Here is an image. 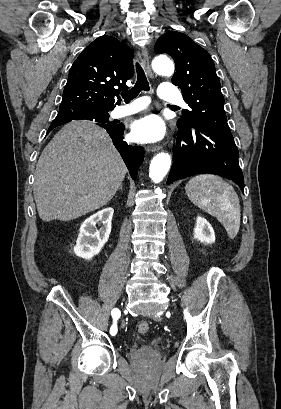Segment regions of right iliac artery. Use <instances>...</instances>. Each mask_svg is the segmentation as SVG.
I'll list each match as a JSON object with an SVG mask.
<instances>
[{
	"instance_id": "obj_1",
	"label": "right iliac artery",
	"mask_w": 281,
	"mask_h": 409,
	"mask_svg": "<svg viewBox=\"0 0 281 409\" xmlns=\"http://www.w3.org/2000/svg\"><path fill=\"white\" fill-rule=\"evenodd\" d=\"M111 315H112V317H113L114 324H113V325L111 326V328H110V334H111V335H115V334L117 333V325H116V322H117L118 318L120 317V311H119L117 308H114V309L111 311Z\"/></svg>"
}]
</instances>
